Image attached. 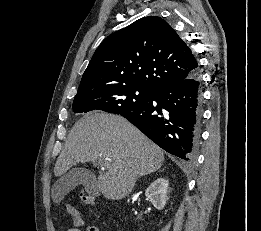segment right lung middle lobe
Wrapping results in <instances>:
<instances>
[{
	"mask_svg": "<svg viewBox=\"0 0 261 231\" xmlns=\"http://www.w3.org/2000/svg\"><path fill=\"white\" fill-rule=\"evenodd\" d=\"M152 93L137 86L100 90L75 96L73 110L75 113L102 110L121 115L147 104L152 98Z\"/></svg>",
	"mask_w": 261,
	"mask_h": 231,
	"instance_id": "right-lung-middle-lobe-1",
	"label": "right lung middle lobe"
}]
</instances>
